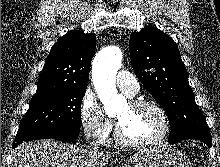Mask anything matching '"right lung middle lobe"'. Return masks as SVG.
Here are the masks:
<instances>
[{"instance_id": "right-lung-middle-lobe-1", "label": "right lung middle lobe", "mask_w": 220, "mask_h": 167, "mask_svg": "<svg viewBox=\"0 0 220 167\" xmlns=\"http://www.w3.org/2000/svg\"><path fill=\"white\" fill-rule=\"evenodd\" d=\"M86 87H70L32 99L20 122L15 141H26L42 134L80 130L81 101Z\"/></svg>"}]
</instances>
